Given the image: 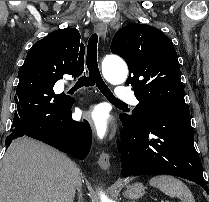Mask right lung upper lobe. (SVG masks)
Segmentation results:
<instances>
[{
  "mask_svg": "<svg viewBox=\"0 0 209 202\" xmlns=\"http://www.w3.org/2000/svg\"><path fill=\"white\" fill-rule=\"evenodd\" d=\"M84 50L77 29L65 28L51 32L31 47L19 70V79L46 76L57 81L64 74L73 77L81 75L84 70Z\"/></svg>",
  "mask_w": 209,
  "mask_h": 202,
  "instance_id": "1",
  "label": "right lung upper lobe"
}]
</instances>
